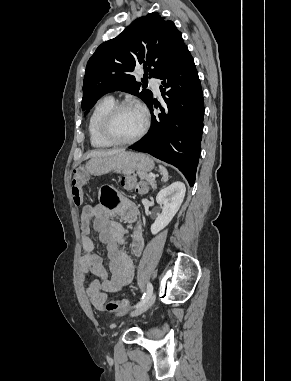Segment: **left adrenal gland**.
I'll return each mask as SVG.
<instances>
[{
  "label": "left adrenal gland",
  "instance_id": "a2214340",
  "mask_svg": "<svg viewBox=\"0 0 291 381\" xmlns=\"http://www.w3.org/2000/svg\"><path fill=\"white\" fill-rule=\"evenodd\" d=\"M153 189H156V185L153 186Z\"/></svg>",
  "mask_w": 291,
  "mask_h": 381
}]
</instances>
